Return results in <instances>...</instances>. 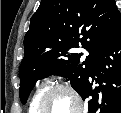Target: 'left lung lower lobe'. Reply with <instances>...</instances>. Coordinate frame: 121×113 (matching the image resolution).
<instances>
[{
	"label": "left lung lower lobe",
	"instance_id": "left-lung-lower-lobe-1",
	"mask_svg": "<svg viewBox=\"0 0 121 113\" xmlns=\"http://www.w3.org/2000/svg\"><path fill=\"white\" fill-rule=\"evenodd\" d=\"M81 96L90 97L88 113H121V20L101 48Z\"/></svg>",
	"mask_w": 121,
	"mask_h": 113
}]
</instances>
